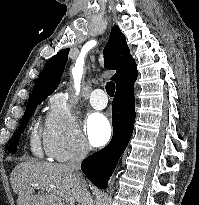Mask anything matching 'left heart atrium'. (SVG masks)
<instances>
[{"label":"left heart atrium","instance_id":"1","mask_svg":"<svg viewBox=\"0 0 199 205\" xmlns=\"http://www.w3.org/2000/svg\"><path fill=\"white\" fill-rule=\"evenodd\" d=\"M86 133L92 145H104L111 136V126L108 119L100 113L91 114L86 121Z\"/></svg>","mask_w":199,"mask_h":205}]
</instances>
